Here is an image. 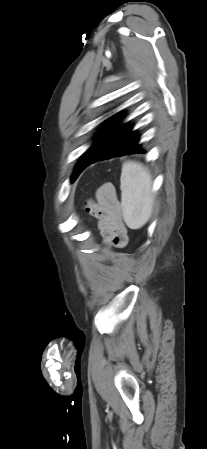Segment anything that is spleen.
Segmentation results:
<instances>
[{"instance_id": "spleen-1", "label": "spleen", "mask_w": 207, "mask_h": 449, "mask_svg": "<svg viewBox=\"0 0 207 449\" xmlns=\"http://www.w3.org/2000/svg\"><path fill=\"white\" fill-rule=\"evenodd\" d=\"M120 182L123 219L129 228L139 229L153 212L152 176L142 164L127 161L122 165Z\"/></svg>"}]
</instances>
